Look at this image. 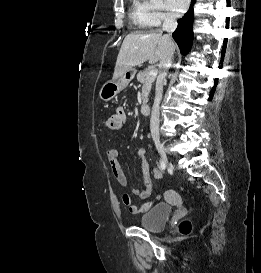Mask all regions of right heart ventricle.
I'll use <instances>...</instances> for the list:
<instances>
[{"instance_id": "e07e8e85", "label": "right heart ventricle", "mask_w": 261, "mask_h": 273, "mask_svg": "<svg viewBox=\"0 0 261 273\" xmlns=\"http://www.w3.org/2000/svg\"><path fill=\"white\" fill-rule=\"evenodd\" d=\"M130 14L133 19V21L141 26V27H147L145 25L144 19H143V12L141 8V0H132V4L130 7Z\"/></svg>"}]
</instances>
